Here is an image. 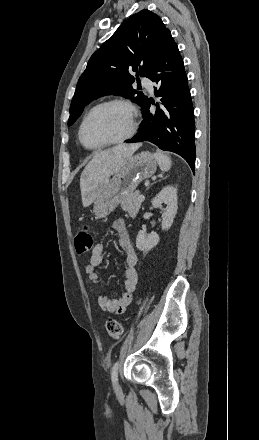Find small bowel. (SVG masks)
Here are the masks:
<instances>
[{"instance_id": "small-bowel-1", "label": "small bowel", "mask_w": 259, "mask_h": 440, "mask_svg": "<svg viewBox=\"0 0 259 440\" xmlns=\"http://www.w3.org/2000/svg\"><path fill=\"white\" fill-rule=\"evenodd\" d=\"M112 227L117 233L118 244L125 254L126 269L123 273L124 288L119 298L111 299L105 295L99 296L98 305L101 309L109 313L121 314L129 306L132 300V293L137 284L138 274L135 266L138 262V256L133 247L124 219H116L112 223ZM103 252L104 245L97 243L91 252L89 262L85 266V272L93 285L100 284V278L95 269L103 262Z\"/></svg>"}]
</instances>
